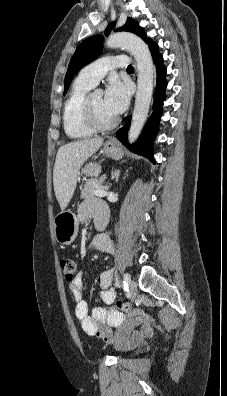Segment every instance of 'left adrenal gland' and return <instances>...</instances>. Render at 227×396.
<instances>
[{
    "label": "left adrenal gland",
    "mask_w": 227,
    "mask_h": 396,
    "mask_svg": "<svg viewBox=\"0 0 227 396\" xmlns=\"http://www.w3.org/2000/svg\"><path fill=\"white\" fill-rule=\"evenodd\" d=\"M119 174H120V171H119V170L115 172L116 182H118Z\"/></svg>",
    "instance_id": "1"
}]
</instances>
